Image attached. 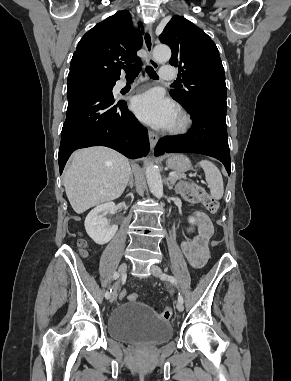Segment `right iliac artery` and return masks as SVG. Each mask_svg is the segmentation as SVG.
Returning a JSON list of instances; mask_svg holds the SVG:
<instances>
[{
  "label": "right iliac artery",
  "mask_w": 291,
  "mask_h": 381,
  "mask_svg": "<svg viewBox=\"0 0 291 381\" xmlns=\"http://www.w3.org/2000/svg\"><path fill=\"white\" fill-rule=\"evenodd\" d=\"M119 278V273L118 272H115L114 274H113V279H118ZM112 292V289H110V292L109 291H107L106 293H105V297L108 299V298H110V293Z\"/></svg>",
  "instance_id": "right-iliac-artery-1"
}]
</instances>
